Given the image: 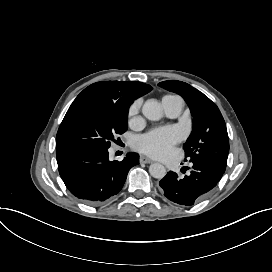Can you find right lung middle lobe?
<instances>
[{
    "mask_svg": "<svg viewBox=\"0 0 272 272\" xmlns=\"http://www.w3.org/2000/svg\"><path fill=\"white\" fill-rule=\"evenodd\" d=\"M128 109L84 102L69 109L56 136L57 152L65 149H108L127 128Z\"/></svg>",
    "mask_w": 272,
    "mask_h": 272,
    "instance_id": "1",
    "label": "right lung middle lobe"
}]
</instances>
